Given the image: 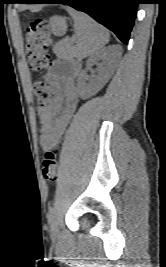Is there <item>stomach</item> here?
I'll return each mask as SVG.
<instances>
[{
    "label": "stomach",
    "mask_w": 166,
    "mask_h": 267,
    "mask_svg": "<svg viewBox=\"0 0 166 267\" xmlns=\"http://www.w3.org/2000/svg\"><path fill=\"white\" fill-rule=\"evenodd\" d=\"M50 30L56 36H62L67 31L66 19L61 16H53L49 21Z\"/></svg>",
    "instance_id": "1"
}]
</instances>
